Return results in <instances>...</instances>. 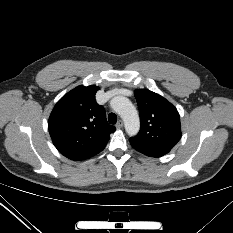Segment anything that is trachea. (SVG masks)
Returning <instances> with one entry per match:
<instances>
[{
  "instance_id": "obj_1",
  "label": "trachea",
  "mask_w": 233,
  "mask_h": 233,
  "mask_svg": "<svg viewBox=\"0 0 233 233\" xmlns=\"http://www.w3.org/2000/svg\"><path fill=\"white\" fill-rule=\"evenodd\" d=\"M108 121L110 124H116L117 122V115L115 113H110L108 115Z\"/></svg>"
}]
</instances>
